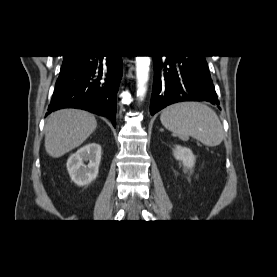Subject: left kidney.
Wrapping results in <instances>:
<instances>
[{"label":"left kidney","instance_id":"5707ae66","mask_svg":"<svg viewBox=\"0 0 277 277\" xmlns=\"http://www.w3.org/2000/svg\"><path fill=\"white\" fill-rule=\"evenodd\" d=\"M174 156L177 160L182 162L184 168L191 170L194 167L195 156L189 148L176 145Z\"/></svg>","mask_w":277,"mask_h":277}]
</instances>
